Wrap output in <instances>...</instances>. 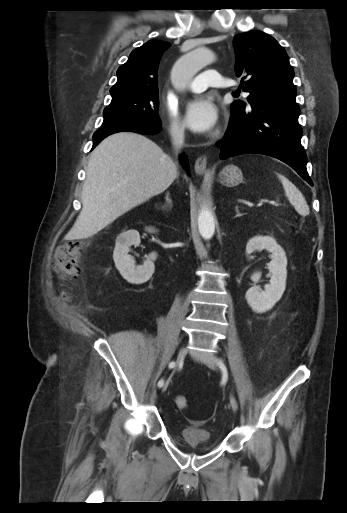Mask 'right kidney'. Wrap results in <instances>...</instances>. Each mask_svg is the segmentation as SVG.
Segmentation results:
<instances>
[{
    "instance_id": "ca27d5eb",
    "label": "right kidney",
    "mask_w": 347,
    "mask_h": 513,
    "mask_svg": "<svg viewBox=\"0 0 347 513\" xmlns=\"http://www.w3.org/2000/svg\"><path fill=\"white\" fill-rule=\"evenodd\" d=\"M146 231L149 233L156 232L153 228H146ZM139 244V232L136 230H129L121 233L117 237L113 252V259L116 268L124 279L133 284L144 283L152 276L155 270L153 260L157 257L156 253L153 252L147 257L143 265L135 266L133 257L128 253L130 246Z\"/></svg>"
}]
</instances>
